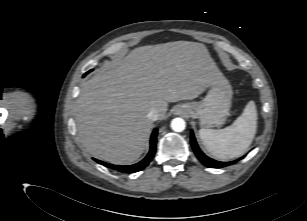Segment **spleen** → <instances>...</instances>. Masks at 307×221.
Instances as JSON below:
<instances>
[{
    "mask_svg": "<svg viewBox=\"0 0 307 221\" xmlns=\"http://www.w3.org/2000/svg\"><path fill=\"white\" fill-rule=\"evenodd\" d=\"M257 130V109L249 101L243 113L224 129H200L199 136L206 150L215 158L230 160L243 155Z\"/></svg>",
    "mask_w": 307,
    "mask_h": 221,
    "instance_id": "spleen-1",
    "label": "spleen"
}]
</instances>
